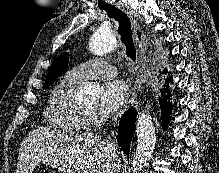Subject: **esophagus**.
<instances>
[{
	"label": "esophagus",
	"instance_id": "esophagus-1",
	"mask_svg": "<svg viewBox=\"0 0 219 173\" xmlns=\"http://www.w3.org/2000/svg\"><path fill=\"white\" fill-rule=\"evenodd\" d=\"M116 6L118 8H120L121 10H123L129 16V18L131 19L132 24H133V29H134V37H135L136 45L138 47L139 57H140L141 60H143L145 58L146 51L148 49L147 36L144 33V31L141 29V27L139 26L137 21L134 19V17L132 15V13L130 12V10H128L126 7H124L120 3H116ZM133 102H134V98L132 97L130 99V103H133Z\"/></svg>",
	"mask_w": 219,
	"mask_h": 173
}]
</instances>
